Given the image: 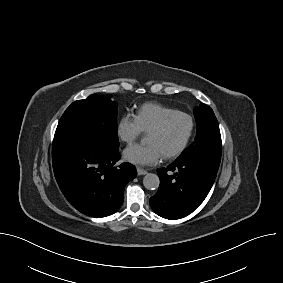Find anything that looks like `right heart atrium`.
Returning <instances> with one entry per match:
<instances>
[{
	"instance_id": "1",
	"label": "right heart atrium",
	"mask_w": 283,
	"mask_h": 283,
	"mask_svg": "<svg viewBox=\"0 0 283 283\" xmlns=\"http://www.w3.org/2000/svg\"><path fill=\"white\" fill-rule=\"evenodd\" d=\"M116 131L119 139L126 144H132L143 133L136 116L131 113H125L118 119Z\"/></svg>"
}]
</instances>
